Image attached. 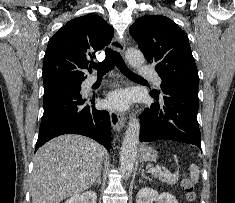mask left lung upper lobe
Returning a JSON list of instances; mask_svg holds the SVG:
<instances>
[{
    "label": "left lung upper lobe",
    "instance_id": "obj_1",
    "mask_svg": "<svg viewBox=\"0 0 235 203\" xmlns=\"http://www.w3.org/2000/svg\"><path fill=\"white\" fill-rule=\"evenodd\" d=\"M129 31L147 61L156 65L161 90L187 87L198 91V71L188 37L176 23L162 15H147L138 18Z\"/></svg>",
    "mask_w": 235,
    "mask_h": 203
}]
</instances>
